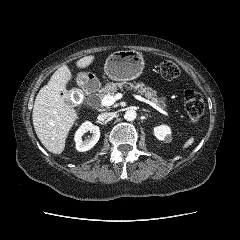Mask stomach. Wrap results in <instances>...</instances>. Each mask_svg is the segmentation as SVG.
<instances>
[{
    "label": "stomach",
    "instance_id": "0dacf381",
    "mask_svg": "<svg viewBox=\"0 0 240 240\" xmlns=\"http://www.w3.org/2000/svg\"><path fill=\"white\" fill-rule=\"evenodd\" d=\"M144 69L141 54L134 50H120L111 54L105 63V74L116 81H129L138 78ZM87 78V75H83Z\"/></svg>",
    "mask_w": 240,
    "mask_h": 240
}]
</instances>
